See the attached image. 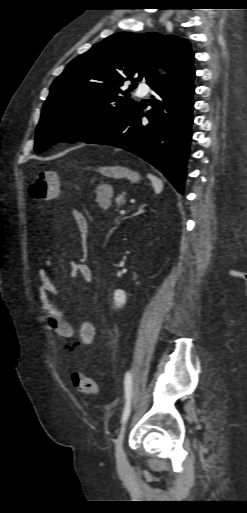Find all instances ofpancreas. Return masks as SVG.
<instances>
[{"label": "pancreas", "instance_id": "cf45deb5", "mask_svg": "<svg viewBox=\"0 0 247 513\" xmlns=\"http://www.w3.org/2000/svg\"><path fill=\"white\" fill-rule=\"evenodd\" d=\"M124 203V198H122L119 202H118V208L121 206V204ZM116 211H118V209H116ZM121 217L120 216H117L115 221L118 222L120 221Z\"/></svg>", "mask_w": 247, "mask_h": 513}]
</instances>
